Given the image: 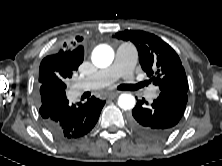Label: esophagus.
Segmentation results:
<instances>
[{
	"label": "esophagus",
	"mask_w": 222,
	"mask_h": 166,
	"mask_svg": "<svg viewBox=\"0 0 222 166\" xmlns=\"http://www.w3.org/2000/svg\"><path fill=\"white\" fill-rule=\"evenodd\" d=\"M121 92L117 91V92H110L108 93L106 96L108 99H114L116 98Z\"/></svg>",
	"instance_id": "obj_1"
}]
</instances>
